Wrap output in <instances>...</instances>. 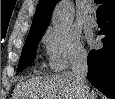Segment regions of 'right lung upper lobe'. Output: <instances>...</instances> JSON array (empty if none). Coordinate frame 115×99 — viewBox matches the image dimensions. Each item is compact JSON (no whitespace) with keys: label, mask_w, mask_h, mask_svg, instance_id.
Returning a JSON list of instances; mask_svg holds the SVG:
<instances>
[{"label":"right lung upper lobe","mask_w":115,"mask_h":99,"mask_svg":"<svg viewBox=\"0 0 115 99\" xmlns=\"http://www.w3.org/2000/svg\"><path fill=\"white\" fill-rule=\"evenodd\" d=\"M58 1L59 0H40L28 36L44 34L50 21L54 6ZM101 3H104V14L115 9V0H101Z\"/></svg>","instance_id":"right-lung-upper-lobe-1"}]
</instances>
